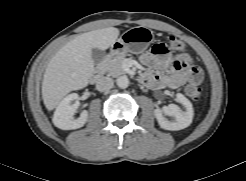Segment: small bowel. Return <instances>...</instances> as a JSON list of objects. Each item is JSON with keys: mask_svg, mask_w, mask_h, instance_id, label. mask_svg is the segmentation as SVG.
<instances>
[{"mask_svg": "<svg viewBox=\"0 0 246 181\" xmlns=\"http://www.w3.org/2000/svg\"><path fill=\"white\" fill-rule=\"evenodd\" d=\"M140 62L158 73L146 72L142 76L145 85L158 89L162 87L178 88L184 85L191 77L192 58L187 54L171 56L168 51L157 55L152 52L140 56ZM165 72L166 74H162Z\"/></svg>", "mask_w": 246, "mask_h": 181, "instance_id": "small-bowel-1", "label": "small bowel"}]
</instances>
